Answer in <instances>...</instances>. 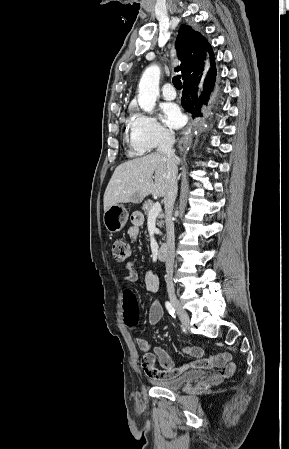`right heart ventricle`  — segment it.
<instances>
[{
  "mask_svg": "<svg viewBox=\"0 0 289 449\" xmlns=\"http://www.w3.org/2000/svg\"><path fill=\"white\" fill-rule=\"evenodd\" d=\"M134 150H135V152H137V153H139V154L143 152L142 150L137 149V148H134Z\"/></svg>",
  "mask_w": 289,
  "mask_h": 449,
  "instance_id": "right-heart-ventricle-1",
  "label": "right heart ventricle"
}]
</instances>
